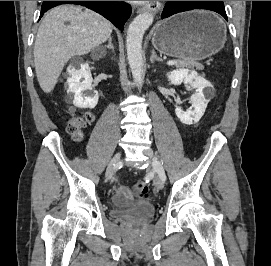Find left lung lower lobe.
I'll return each mask as SVG.
<instances>
[{"instance_id": "0a47b994", "label": "left lung lower lobe", "mask_w": 271, "mask_h": 266, "mask_svg": "<svg viewBox=\"0 0 271 266\" xmlns=\"http://www.w3.org/2000/svg\"><path fill=\"white\" fill-rule=\"evenodd\" d=\"M192 9H206L219 13L227 20L224 5L213 1H169L166 3L161 18H168L176 13L189 11Z\"/></svg>"}]
</instances>
